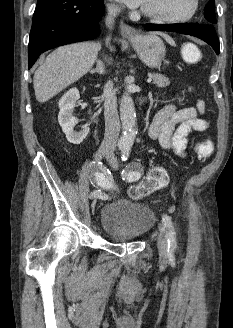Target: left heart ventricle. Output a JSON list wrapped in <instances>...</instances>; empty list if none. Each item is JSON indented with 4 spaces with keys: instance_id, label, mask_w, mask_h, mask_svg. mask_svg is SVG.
<instances>
[{
    "instance_id": "obj_1",
    "label": "left heart ventricle",
    "mask_w": 233,
    "mask_h": 328,
    "mask_svg": "<svg viewBox=\"0 0 233 328\" xmlns=\"http://www.w3.org/2000/svg\"><path fill=\"white\" fill-rule=\"evenodd\" d=\"M142 8L169 17L186 15L191 8V0H145Z\"/></svg>"
}]
</instances>
